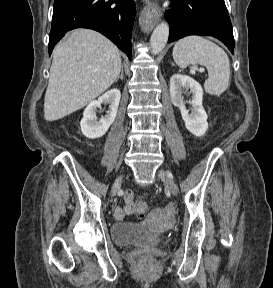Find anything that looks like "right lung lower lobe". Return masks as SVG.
I'll use <instances>...</instances> for the list:
<instances>
[{
  "instance_id": "98d812e1",
  "label": "right lung lower lobe",
  "mask_w": 273,
  "mask_h": 288,
  "mask_svg": "<svg viewBox=\"0 0 273 288\" xmlns=\"http://www.w3.org/2000/svg\"><path fill=\"white\" fill-rule=\"evenodd\" d=\"M135 12L132 0H55L49 55L66 32L82 27L105 35L131 60Z\"/></svg>"
}]
</instances>
